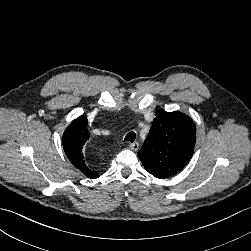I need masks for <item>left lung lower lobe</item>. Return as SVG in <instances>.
Masks as SVG:
<instances>
[{"label":"left lung lower lobe","mask_w":251,"mask_h":251,"mask_svg":"<svg viewBox=\"0 0 251 251\" xmlns=\"http://www.w3.org/2000/svg\"><path fill=\"white\" fill-rule=\"evenodd\" d=\"M149 173L152 174L156 178H167L170 176V175H166V174H158V173H153V172H149Z\"/></svg>","instance_id":"obj_1"}]
</instances>
